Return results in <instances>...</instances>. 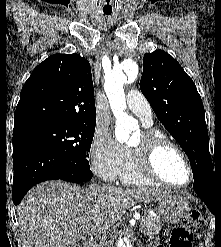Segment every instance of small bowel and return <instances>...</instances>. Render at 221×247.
Returning a JSON list of instances; mask_svg holds the SVG:
<instances>
[{"mask_svg":"<svg viewBox=\"0 0 221 247\" xmlns=\"http://www.w3.org/2000/svg\"><path fill=\"white\" fill-rule=\"evenodd\" d=\"M152 247H161V246H152Z\"/></svg>","mask_w":221,"mask_h":247,"instance_id":"c3829d8e","label":"small bowel"}]
</instances>
